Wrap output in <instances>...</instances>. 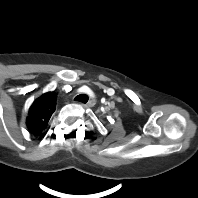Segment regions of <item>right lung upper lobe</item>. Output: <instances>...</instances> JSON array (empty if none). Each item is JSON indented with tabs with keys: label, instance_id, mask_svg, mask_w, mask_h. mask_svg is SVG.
I'll return each instance as SVG.
<instances>
[{
	"label": "right lung upper lobe",
	"instance_id": "right-lung-upper-lobe-1",
	"mask_svg": "<svg viewBox=\"0 0 198 198\" xmlns=\"http://www.w3.org/2000/svg\"><path fill=\"white\" fill-rule=\"evenodd\" d=\"M56 109V96L53 92H47L36 99L31 105L26 125L32 134H39L46 128L50 117Z\"/></svg>",
	"mask_w": 198,
	"mask_h": 198
}]
</instances>
